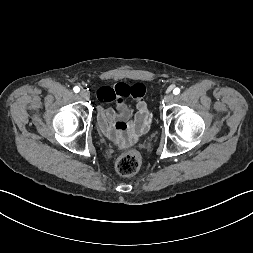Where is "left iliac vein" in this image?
<instances>
[{"label":"left iliac vein","mask_w":253,"mask_h":253,"mask_svg":"<svg viewBox=\"0 0 253 253\" xmlns=\"http://www.w3.org/2000/svg\"><path fill=\"white\" fill-rule=\"evenodd\" d=\"M173 98H174L173 94H167V95L164 96L163 101H164L165 104H170L171 101L173 100Z\"/></svg>","instance_id":"4c4485c4"}]
</instances>
